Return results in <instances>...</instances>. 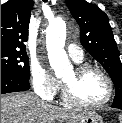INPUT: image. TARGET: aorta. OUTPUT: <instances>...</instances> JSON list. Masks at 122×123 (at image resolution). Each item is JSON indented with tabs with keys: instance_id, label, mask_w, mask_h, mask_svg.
<instances>
[{
	"instance_id": "aorta-1",
	"label": "aorta",
	"mask_w": 122,
	"mask_h": 123,
	"mask_svg": "<svg viewBox=\"0 0 122 123\" xmlns=\"http://www.w3.org/2000/svg\"><path fill=\"white\" fill-rule=\"evenodd\" d=\"M65 39L66 23L62 18L57 17L49 23L46 34L48 58L56 75L70 68L69 59L64 50Z\"/></svg>"
}]
</instances>
